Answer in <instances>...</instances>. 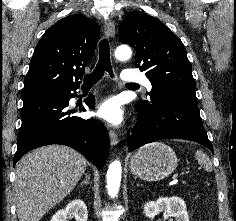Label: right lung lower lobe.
<instances>
[{"instance_id": "98d812e1", "label": "right lung lower lobe", "mask_w": 236, "mask_h": 221, "mask_svg": "<svg viewBox=\"0 0 236 221\" xmlns=\"http://www.w3.org/2000/svg\"><path fill=\"white\" fill-rule=\"evenodd\" d=\"M61 90L60 95L35 96L23 100L22 125L18 135L14 164L27 152L50 144L72 147L102 169L109 152V137L104 125L94 119L84 120L72 116L74 108L68 107L71 93L78 89ZM89 108L95 106L94 97L86 100ZM80 110L85 111L80 107Z\"/></svg>"}]
</instances>
